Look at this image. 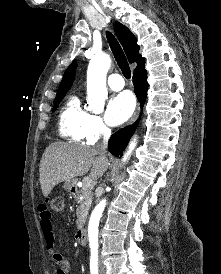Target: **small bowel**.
<instances>
[{"label": "small bowel", "mask_w": 221, "mask_h": 274, "mask_svg": "<svg viewBox=\"0 0 221 274\" xmlns=\"http://www.w3.org/2000/svg\"><path fill=\"white\" fill-rule=\"evenodd\" d=\"M38 214L40 228L43 233L51 259L54 263L59 265V268L56 270L55 274H69L68 264L64 260L62 253L55 246L52 214L49 210V207L46 204H40L38 206Z\"/></svg>", "instance_id": "obj_1"}]
</instances>
